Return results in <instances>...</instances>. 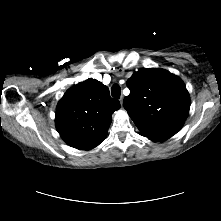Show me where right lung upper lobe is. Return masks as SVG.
<instances>
[{
	"mask_svg": "<svg viewBox=\"0 0 221 221\" xmlns=\"http://www.w3.org/2000/svg\"><path fill=\"white\" fill-rule=\"evenodd\" d=\"M120 108L109 89L96 79H87L70 88L56 108L55 124L71 147L90 150L106 137L111 115Z\"/></svg>",
	"mask_w": 221,
	"mask_h": 221,
	"instance_id": "right-lung-upper-lobe-1",
	"label": "right lung upper lobe"
}]
</instances>
